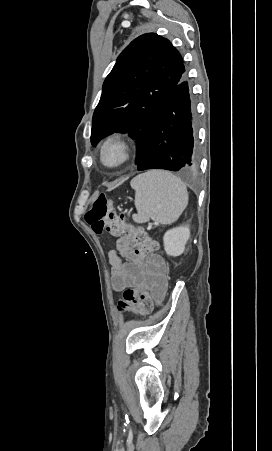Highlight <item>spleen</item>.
I'll use <instances>...</instances> for the list:
<instances>
[{"label": "spleen", "instance_id": "1", "mask_svg": "<svg viewBox=\"0 0 272 451\" xmlns=\"http://www.w3.org/2000/svg\"><path fill=\"white\" fill-rule=\"evenodd\" d=\"M135 190L138 214L132 218L144 224L153 218L157 224H173L180 218L188 204V192L180 178L164 170H150L139 174L130 182Z\"/></svg>", "mask_w": 272, "mask_h": 451}]
</instances>
